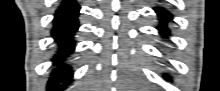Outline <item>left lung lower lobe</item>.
Masks as SVG:
<instances>
[{
  "instance_id": "obj_1",
  "label": "left lung lower lobe",
  "mask_w": 220,
  "mask_h": 91,
  "mask_svg": "<svg viewBox=\"0 0 220 91\" xmlns=\"http://www.w3.org/2000/svg\"><path fill=\"white\" fill-rule=\"evenodd\" d=\"M155 11L157 12L159 19L162 23H164V29L160 30V34L164 36L170 35L169 29L166 27L169 20L172 18L171 14L165 11L161 8H155ZM165 78H169L168 75H164Z\"/></svg>"
}]
</instances>
